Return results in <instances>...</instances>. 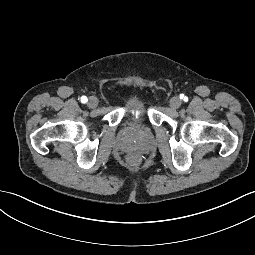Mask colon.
I'll use <instances>...</instances> for the list:
<instances>
[{
	"mask_svg": "<svg viewBox=\"0 0 255 255\" xmlns=\"http://www.w3.org/2000/svg\"><path fill=\"white\" fill-rule=\"evenodd\" d=\"M129 162H130L131 164H135V163L137 162V157L134 156V155L130 156V157H129Z\"/></svg>",
	"mask_w": 255,
	"mask_h": 255,
	"instance_id": "colon-1",
	"label": "colon"
}]
</instances>
